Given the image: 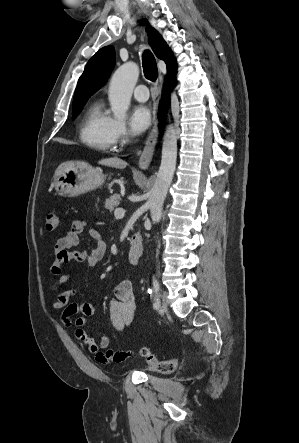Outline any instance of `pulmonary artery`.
<instances>
[{"mask_svg":"<svg viewBox=\"0 0 299 443\" xmlns=\"http://www.w3.org/2000/svg\"><path fill=\"white\" fill-rule=\"evenodd\" d=\"M133 95L136 100L145 102L149 98L148 88L144 84H139L135 87Z\"/></svg>","mask_w":299,"mask_h":443,"instance_id":"1","label":"pulmonary artery"}]
</instances>
